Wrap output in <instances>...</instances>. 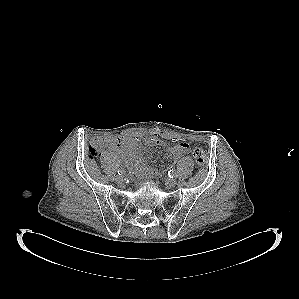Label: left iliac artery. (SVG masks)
<instances>
[{"mask_svg": "<svg viewBox=\"0 0 299 299\" xmlns=\"http://www.w3.org/2000/svg\"><path fill=\"white\" fill-rule=\"evenodd\" d=\"M169 177L173 178V177H177V171L172 169L168 172Z\"/></svg>", "mask_w": 299, "mask_h": 299, "instance_id": "left-iliac-artery-1", "label": "left iliac artery"}]
</instances>
